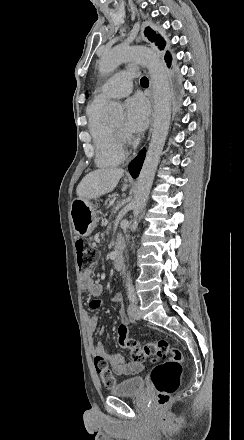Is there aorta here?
<instances>
[{"label": "aorta", "instance_id": "aorta-1", "mask_svg": "<svg viewBox=\"0 0 244 440\" xmlns=\"http://www.w3.org/2000/svg\"><path fill=\"white\" fill-rule=\"evenodd\" d=\"M127 61H134L147 67L154 94L152 136L131 202L134 218H138L148 199L166 141L171 119L172 102L169 78L165 66L159 55L149 48L138 46L115 47L101 57L99 71L102 74L112 73L118 65ZM108 113L112 118H121L123 116L122 104L111 101L108 104ZM126 283H131L130 273L126 274Z\"/></svg>", "mask_w": 244, "mask_h": 440}]
</instances>
